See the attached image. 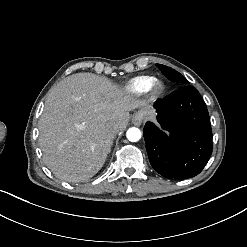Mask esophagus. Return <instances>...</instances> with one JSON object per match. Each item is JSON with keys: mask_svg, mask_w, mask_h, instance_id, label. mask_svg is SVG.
I'll return each instance as SVG.
<instances>
[{"mask_svg": "<svg viewBox=\"0 0 247 247\" xmlns=\"http://www.w3.org/2000/svg\"><path fill=\"white\" fill-rule=\"evenodd\" d=\"M132 123H133L134 125L139 126V125L141 124V120L139 119L138 116H133V117H132Z\"/></svg>", "mask_w": 247, "mask_h": 247, "instance_id": "1", "label": "esophagus"}]
</instances>
